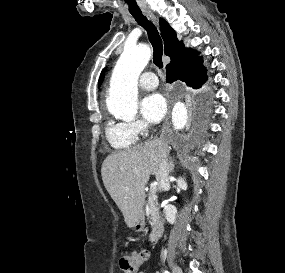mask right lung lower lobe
Listing matches in <instances>:
<instances>
[{
    "mask_svg": "<svg viewBox=\"0 0 285 273\" xmlns=\"http://www.w3.org/2000/svg\"><path fill=\"white\" fill-rule=\"evenodd\" d=\"M202 62V57L196 53L179 64L166 67L167 82L181 80L188 86L199 89L207 80L206 69Z\"/></svg>",
    "mask_w": 285,
    "mask_h": 273,
    "instance_id": "right-lung-lower-lobe-1",
    "label": "right lung lower lobe"
}]
</instances>
